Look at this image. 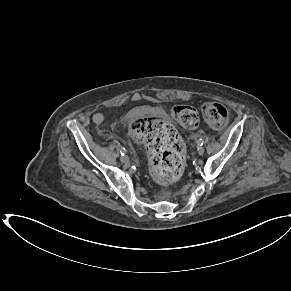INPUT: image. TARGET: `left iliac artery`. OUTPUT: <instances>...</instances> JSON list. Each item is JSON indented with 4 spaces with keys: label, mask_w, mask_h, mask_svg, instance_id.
Masks as SVG:
<instances>
[{
    "label": "left iliac artery",
    "mask_w": 291,
    "mask_h": 291,
    "mask_svg": "<svg viewBox=\"0 0 291 291\" xmlns=\"http://www.w3.org/2000/svg\"><path fill=\"white\" fill-rule=\"evenodd\" d=\"M203 143H204V141H203L202 139H199V140L197 141V144H198L199 146H202Z\"/></svg>",
    "instance_id": "44dca946"
}]
</instances>
